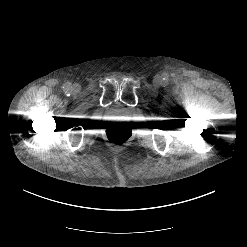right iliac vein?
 Masks as SVG:
<instances>
[{
    "label": "right iliac vein",
    "mask_w": 247,
    "mask_h": 247,
    "mask_svg": "<svg viewBox=\"0 0 247 247\" xmlns=\"http://www.w3.org/2000/svg\"><path fill=\"white\" fill-rule=\"evenodd\" d=\"M78 88V85H74V90H77Z\"/></svg>",
    "instance_id": "right-iliac-vein-1"
}]
</instances>
